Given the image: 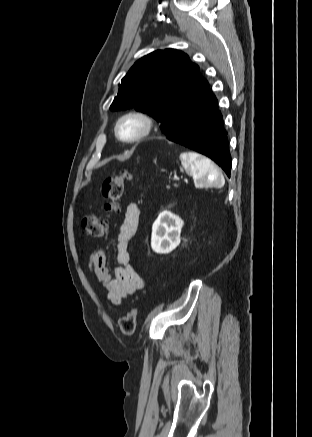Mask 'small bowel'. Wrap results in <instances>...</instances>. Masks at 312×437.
Here are the masks:
<instances>
[{"label":"small bowel","instance_id":"small-bowel-1","mask_svg":"<svg viewBox=\"0 0 312 437\" xmlns=\"http://www.w3.org/2000/svg\"><path fill=\"white\" fill-rule=\"evenodd\" d=\"M140 209L137 203L126 206L123 221L115 237L117 262L112 272L107 266V254L102 248L96 249L90 256L88 268L99 284L107 289V298L114 305H120L129 295L144 286L142 277L130 263L129 243L139 224Z\"/></svg>","mask_w":312,"mask_h":437}]
</instances>
